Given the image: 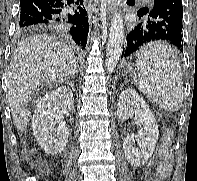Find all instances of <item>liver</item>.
Here are the masks:
<instances>
[{"label":"liver","instance_id":"liver-1","mask_svg":"<svg viewBox=\"0 0 197 181\" xmlns=\"http://www.w3.org/2000/svg\"><path fill=\"white\" fill-rule=\"evenodd\" d=\"M77 69L72 51L53 36L36 35L18 44L7 71V96L13 123L19 131L27 128V106L34 90L42 85L63 83Z\"/></svg>","mask_w":197,"mask_h":181}]
</instances>
